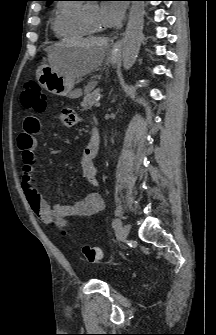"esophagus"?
<instances>
[{
  "mask_svg": "<svg viewBox=\"0 0 216 335\" xmlns=\"http://www.w3.org/2000/svg\"><path fill=\"white\" fill-rule=\"evenodd\" d=\"M121 48V41L118 40L115 42L114 46H113V50L118 51Z\"/></svg>",
  "mask_w": 216,
  "mask_h": 335,
  "instance_id": "obj_1",
  "label": "esophagus"
}]
</instances>
